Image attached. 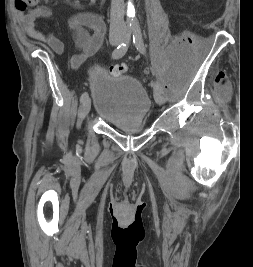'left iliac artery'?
<instances>
[{"instance_id":"1","label":"left iliac artery","mask_w":253,"mask_h":267,"mask_svg":"<svg viewBox=\"0 0 253 267\" xmlns=\"http://www.w3.org/2000/svg\"><path fill=\"white\" fill-rule=\"evenodd\" d=\"M133 43L135 44V47L137 48V50L140 53H142V54L145 53L146 48H145V44H144V41H143L141 30H140L139 27L135 28L134 31H133ZM152 87H153L154 90H158L160 92H163L162 88L160 87V85L155 83L154 81H152Z\"/></svg>"}]
</instances>
